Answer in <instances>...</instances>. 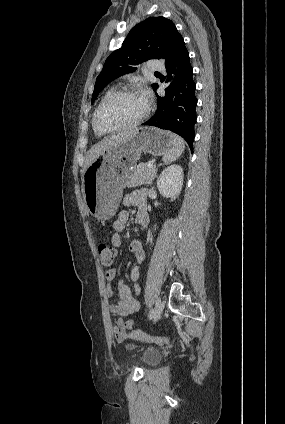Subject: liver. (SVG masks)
<instances>
[{"label":"liver","mask_w":285,"mask_h":424,"mask_svg":"<svg viewBox=\"0 0 285 424\" xmlns=\"http://www.w3.org/2000/svg\"><path fill=\"white\" fill-rule=\"evenodd\" d=\"M136 131L137 128H132L130 130L106 137L104 140L91 147V149L87 153L84 171L105 150L122 144L124 141L131 138Z\"/></svg>","instance_id":"6515ba94"}]
</instances>
